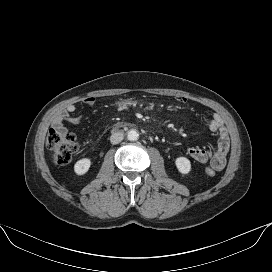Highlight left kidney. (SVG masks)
Listing matches in <instances>:
<instances>
[{"label": "left kidney", "instance_id": "5707ae66", "mask_svg": "<svg viewBox=\"0 0 272 272\" xmlns=\"http://www.w3.org/2000/svg\"><path fill=\"white\" fill-rule=\"evenodd\" d=\"M175 165L178 171L182 174H187L191 170V163L186 157L176 158Z\"/></svg>", "mask_w": 272, "mask_h": 272}]
</instances>
